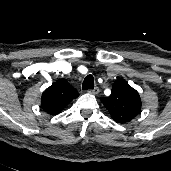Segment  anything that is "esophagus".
<instances>
[{"label": "esophagus", "mask_w": 171, "mask_h": 171, "mask_svg": "<svg viewBox=\"0 0 171 171\" xmlns=\"http://www.w3.org/2000/svg\"><path fill=\"white\" fill-rule=\"evenodd\" d=\"M89 93L97 95L99 93V88L95 87L93 89L88 90Z\"/></svg>", "instance_id": "1"}]
</instances>
